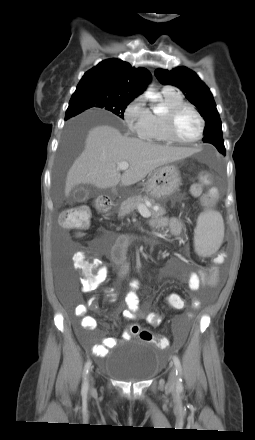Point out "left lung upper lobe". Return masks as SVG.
Returning <instances> with one entry per match:
<instances>
[{
  "instance_id": "left-lung-upper-lobe-1",
  "label": "left lung upper lobe",
  "mask_w": 255,
  "mask_h": 440,
  "mask_svg": "<svg viewBox=\"0 0 255 440\" xmlns=\"http://www.w3.org/2000/svg\"><path fill=\"white\" fill-rule=\"evenodd\" d=\"M155 75L162 84L178 87L186 98L199 109V113L206 123L203 141L214 145L219 152L225 155L221 120L215 101L209 88L198 75L186 67H177L171 71L157 69Z\"/></svg>"
}]
</instances>
